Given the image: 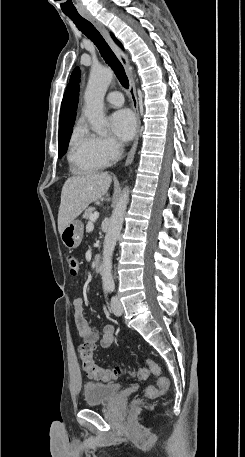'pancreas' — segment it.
Masks as SVG:
<instances>
[{
  "label": "pancreas",
  "mask_w": 245,
  "mask_h": 457,
  "mask_svg": "<svg viewBox=\"0 0 245 457\" xmlns=\"http://www.w3.org/2000/svg\"><path fill=\"white\" fill-rule=\"evenodd\" d=\"M93 210H95L94 206H87L84 214H82L83 218H90L91 214H94Z\"/></svg>",
  "instance_id": "1"
}]
</instances>
